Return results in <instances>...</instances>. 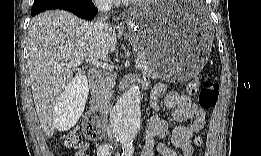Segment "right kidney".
Returning <instances> with one entry per match:
<instances>
[{
	"instance_id": "obj_1",
	"label": "right kidney",
	"mask_w": 261,
	"mask_h": 156,
	"mask_svg": "<svg viewBox=\"0 0 261 156\" xmlns=\"http://www.w3.org/2000/svg\"><path fill=\"white\" fill-rule=\"evenodd\" d=\"M81 80H83V82H85L86 81V77L85 76L81 77Z\"/></svg>"
}]
</instances>
